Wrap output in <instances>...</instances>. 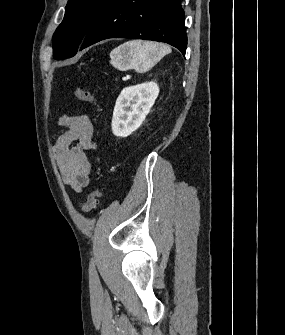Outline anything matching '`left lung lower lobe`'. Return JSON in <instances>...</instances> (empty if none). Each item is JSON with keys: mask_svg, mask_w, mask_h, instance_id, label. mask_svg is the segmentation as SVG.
Returning <instances> with one entry per match:
<instances>
[{"mask_svg": "<svg viewBox=\"0 0 285 335\" xmlns=\"http://www.w3.org/2000/svg\"><path fill=\"white\" fill-rule=\"evenodd\" d=\"M108 38L165 42L185 56L187 35L181 0H110L85 35L80 50Z\"/></svg>", "mask_w": 285, "mask_h": 335, "instance_id": "obj_1", "label": "left lung lower lobe"}]
</instances>
